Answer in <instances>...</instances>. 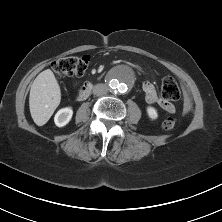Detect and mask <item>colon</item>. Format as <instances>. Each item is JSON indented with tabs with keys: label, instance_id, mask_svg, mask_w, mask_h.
<instances>
[{
	"label": "colon",
	"instance_id": "obj_1",
	"mask_svg": "<svg viewBox=\"0 0 222 222\" xmlns=\"http://www.w3.org/2000/svg\"><path fill=\"white\" fill-rule=\"evenodd\" d=\"M90 65L88 56L64 57L51 64L52 70L59 76H82ZM161 93L165 99L177 100L180 97V88L173 77H165L162 81ZM176 125L175 117L169 116L163 122V127L167 130Z\"/></svg>",
	"mask_w": 222,
	"mask_h": 222
}]
</instances>
